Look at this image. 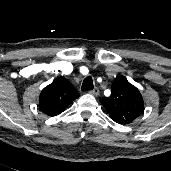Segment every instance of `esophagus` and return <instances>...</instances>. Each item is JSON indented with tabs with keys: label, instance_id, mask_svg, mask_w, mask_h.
Wrapping results in <instances>:
<instances>
[{
	"label": "esophagus",
	"instance_id": "obj_1",
	"mask_svg": "<svg viewBox=\"0 0 171 171\" xmlns=\"http://www.w3.org/2000/svg\"><path fill=\"white\" fill-rule=\"evenodd\" d=\"M89 93L94 95V96H98L99 95V89L96 87V88L92 89L91 91H89Z\"/></svg>",
	"mask_w": 171,
	"mask_h": 171
}]
</instances>
